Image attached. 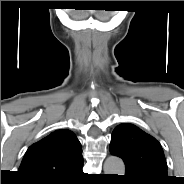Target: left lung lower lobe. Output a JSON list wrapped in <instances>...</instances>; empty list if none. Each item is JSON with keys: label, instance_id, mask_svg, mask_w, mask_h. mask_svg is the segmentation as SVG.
I'll use <instances>...</instances> for the list:
<instances>
[{"label": "left lung lower lobe", "instance_id": "1", "mask_svg": "<svg viewBox=\"0 0 184 184\" xmlns=\"http://www.w3.org/2000/svg\"><path fill=\"white\" fill-rule=\"evenodd\" d=\"M129 183H130V184H136V183H134V182H131V181H129Z\"/></svg>", "mask_w": 184, "mask_h": 184}]
</instances>
